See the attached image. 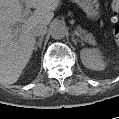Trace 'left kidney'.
<instances>
[{"label":"left kidney","mask_w":119,"mask_h":119,"mask_svg":"<svg viewBox=\"0 0 119 119\" xmlns=\"http://www.w3.org/2000/svg\"><path fill=\"white\" fill-rule=\"evenodd\" d=\"M80 58L83 65L91 70L101 71L106 67V62L98 48H83L80 51Z\"/></svg>","instance_id":"5707ae66"}]
</instances>
